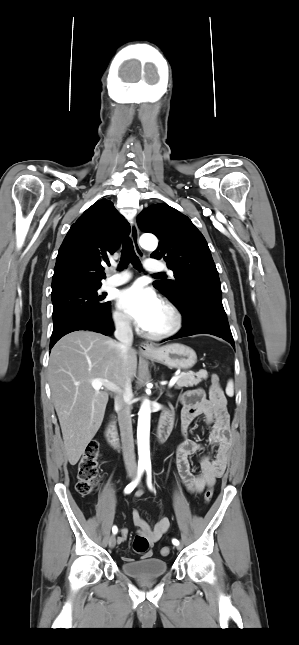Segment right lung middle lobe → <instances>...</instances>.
Segmentation results:
<instances>
[{"label":"right lung middle lobe","instance_id":"right-lung-middle-lobe-1","mask_svg":"<svg viewBox=\"0 0 299 645\" xmlns=\"http://www.w3.org/2000/svg\"><path fill=\"white\" fill-rule=\"evenodd\" d=\"M101 285H74L52 293L54 328L83 314H104L110 310V302L97 290Z\"/></svg>","mask_w":299,"mask_h":645}]
</instances>
